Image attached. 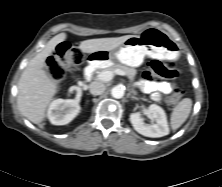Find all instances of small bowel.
Segmentation results:
<instances>
[{
    "label": "small bowel",
    "instance_id": "c3829d8e",
    "mask_svg": "<svg viewBox=\"0 0 222 187\" xmlns=\"http://www.w3.org/2000/svg\"><path fill=\"white\" fill-rule=\"evenodd\" d=\"M139 86L144 92L149 93L155 101H160L162 96L169 93L172 88L169 82L156 80H141Z\"/></svg>",
    "mask_w": 222,
    "mask_h": 187
}]
</instances>
